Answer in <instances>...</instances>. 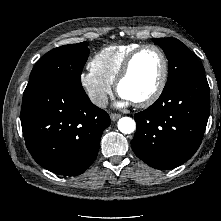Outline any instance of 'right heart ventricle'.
Returning <instances> with one entry per match:
<instances>
[{"instance_id":"right-heart-ventricle-1","label":"right heart ventricle","mask_w":221,"mask_h":221,"mask_svg":"<svg viewBox=\"0 0 221 221\" xmlns=\"http://www.w3.org/2000/svg\"><path fill=\"white\" fill-rule=\"evenodd\" d=\"M139 46L140 43H126L104 47L93 56L90 68L113 84L128 55Z\"/></svg>"}]
</instances>
